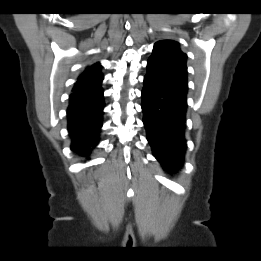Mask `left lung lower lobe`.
<instances>
[{"mask_svg":"<svg viewBox=\"0 0 261 261\" xmlns=\"http://www.w3.org/2000/svg\"><path fill=\"white\" fill-rule=\"evenodd\" d=\"M187 74L148 60L142 90L143 123L153 155L164 170L183 164Z\"/></svg>","mask_w":261,"mask_h":261,"instance_id":"1","label":"left lung lower lobe"}]
</instances>
